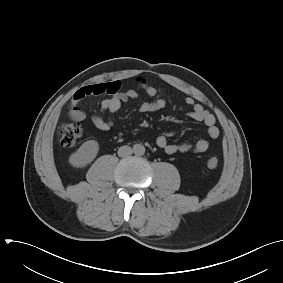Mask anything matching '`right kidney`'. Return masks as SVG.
I'll use <instances>...</instances> for the list:
<instances>
[{
    "instance_id": "obj_1",
    "label": "right kidney",
    "mask_w": 283,
    "mask_h": 283,
    "mask_svg": "<svg viewBox=\"0 0 283 283\" xmlns=\"http://www.w3.org/2000/svg\"><path fill=\"white\" fill-rule=\"evenodd\" d=\"M99 150V145L95 140L84 142L80 148L73 153L69 162L72 166L77 168L85 167L96 157Z\"/></svg>"
}]
</instances>
